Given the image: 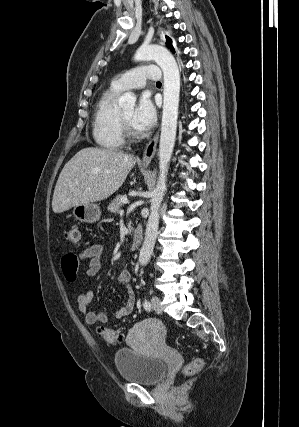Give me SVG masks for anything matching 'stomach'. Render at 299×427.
Returning <instances> with one entry per match:
<instances>
[{"label": "stomach", "instance_id": "0dacf381", "mask_svg": "<svg viewBox=\"0 0 299 427\" xmlns=\"http://www.w3.org/2000/svg\"><path fill=\"white\" fill-rule=\"evenodd\" d=\"M72 213L75 219L87 223L97 222L101 217L100 207L94 203L74 206Z\"/></svg>", "mask_w": 299, "mask_h": 427}]
</instances>
